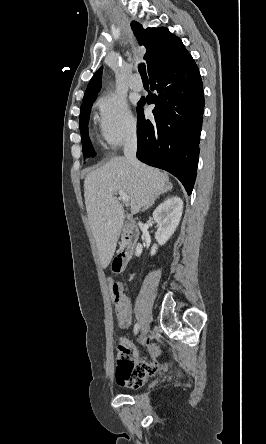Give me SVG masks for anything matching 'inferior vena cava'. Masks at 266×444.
<instances>
[{"mask_svg":"<svg viewBox=\"0 0 266 444\" xmlns=\"http://www.w3.org/2000/svg\"><path fill=\"white\" fill-rule=\"evenodd\" d=\"M136 152H137V134L136 130H132L128 134L124 142V156L135 169L139 165V162L136 158Z\"/></svg>","mask_w":266,"mask_h":444,"instance_id":"inferior-vena-cava-1","label":"inferior vena cava"}]
</instances>
